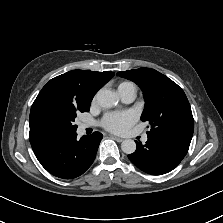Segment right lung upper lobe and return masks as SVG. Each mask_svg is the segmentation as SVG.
<instances>
[{
	"mask_svg": "<svg viewBox=\"0 0 223 223\" xmlns=\"http://www.w3.org/2000/svg\"><path fill=\"white\" fill-rule=\"evenodd\" d=\"M113 76L114 73L111 71L72 70L51 79L42 88L36 99L51 97L72 104L79 109H90V102L96 92ZM52 142L30 141L33 150L45 147Z\"/></svg>",
	"mask_w": 223,
	"mask_h": 223,
	"instance_id": "cb5924a9",
	"label": "right lung upper lobe"
}]
</instances>
